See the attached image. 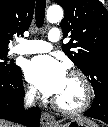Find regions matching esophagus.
Segmentation results:
<instances>
[{
  "label": "esophagus",
  "instance_id": "34e87169",
  "mask_svg": "<svg viewBox=\"0 0 108 127\" xmlns=\"http://www.w3.org/2000/svg\"><path fill=\"white\" fill-rule=\"evenodd\" d=\"M41 124L42 127H54L55 126L54 117L48 112H43L41 115Z\"/></svg>",
  "mask_w": 108,
  "mask_h": 127
}]
</instances>
